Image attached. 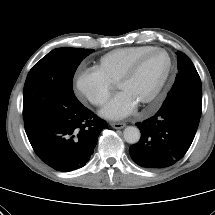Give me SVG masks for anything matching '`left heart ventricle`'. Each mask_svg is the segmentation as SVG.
<instances>
[{
    "label": "left heart ventricle",
    "instance_id": "b2bd125f",
    "mask_svg": "<svg viewBox=\"0 0 215 215\" xmlns=\"http://www.w3.org/2000/svg\"><path fill=\"white\" fill-rule=\"evenodd\" d=\"M168 57L164 53L150 55L138 68L135 75L119 88L126 93L136 105L142 104L162 80L167 67Z\"/></svg>",
    "mask_w": 215,
    "mask_h": 215
}]
</instances>
